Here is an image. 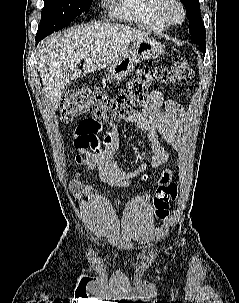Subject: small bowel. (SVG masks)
<instances>
[{
	"instance_id": "small-bowel-1",
	"label": "small bowel",
	"mask_w": 239,
	"mask_h": 303,
	"mask_svg": "<svg viewBox=\"0 0 239 303\" xmlns=\"http://www.w3.org/2000/svg\"><path fill=\"white\" fill-rule=\"evenodd\" d=\"M164 102L163 93L153 90L142 112L127 119V122L136 126L150 142L153 154L150 167L154 169L166 165L169 161V154L163 142L174 150H178L180 145L178 117L181 111L175 102L167 101L169 114L164 115L161 111ZM92 124H99V127L91 130L88 126ZM72 143L79 153L76 161L87 170H98L101 182L108 186L127 187L148 178L147 164L142 163L135 169L126 171L115 160L122 143V135L112 123L108 124V130L103 132L102 124L96 118H86L78 124L72 136ZM89 146L95 150L87 151ZM80 154H83L84 158H81ZM176 175V169L164 168L159 177V188L171 184ZM90 190V187L84 188L81 197L85 198Z\"/></svg>"
}]
</instances>
